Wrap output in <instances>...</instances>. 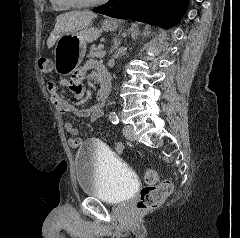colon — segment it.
Segmentation results:
<instances>
[{
	"label": "colon",
	"instance_id": "1",
	"mask_svg": "<svg viewBox=\"0 0 240 238\" xmlns=\"http://www.w3.org/2000/svg\"><path fill=\"white\" fill-rule=\"evenodd\" d=\"M38 67L43 75H49L52 72L53 63L49 58H41L38 62ZM145 179L150 185L144 187L140 192L137 202V209L139 211H148L157 208L173 190V185L168 180L155 183L157 173L153 169L146 171Z\"/></svg>",
	"mask_w": 240,
	"mask_h": 238
}]
</instances>
